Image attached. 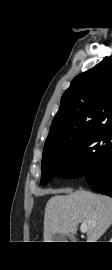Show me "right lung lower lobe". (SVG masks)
<instances>
[{
	"label": "right lung lower lobe",
	"instance_id": "right-lung-lower-lobe-1",
	"mask_svg": "<svg viewBox=\"0 0 112 270\" xmlns=\"http://www.w3.org/2000/svg\"><path fill=\"white\" fill-rule=\"evenodd\" d=\"M86 180L94 190L112 197V148L99 169L86 173Z\"/></svg>",
	"mask_w": 112,
	"mask_h": 270
}]
</instances>
